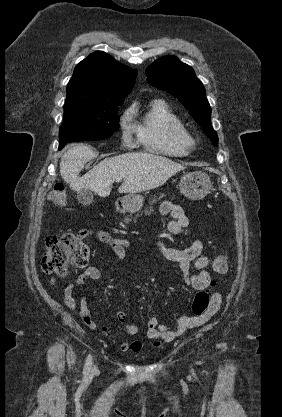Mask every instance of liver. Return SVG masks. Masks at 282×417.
<instances>
[{
	"label": "liver",
	"instance_id": "obj_1",
	"mask_svg": "<svg viewBox=\"0 0 282 417\" xmlns=\"http://www.w3.org/2000/svg\"><path fill=\"white\" fill-rule=\"evenodd\" d=\"M93 150L86 144L72 146L64 152L60 162V174L72 190L90 188L99 196H109L111 184L123 178L119 192H142L162 186L170 176L184 170L186 166L149 152H125L119 156L104 158L89 172L79 176L86 162L91 160Z\"/></svg>",
	"mask_w": 282,
	"mask_h": 417
}]
</instances>
